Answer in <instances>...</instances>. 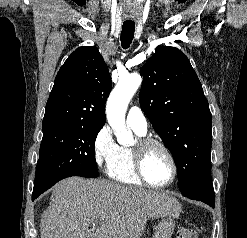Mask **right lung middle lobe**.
<instances>
[{"instance_id": "dd1d6c3e", "label": "right lung middle lobe", "mask_w": 247, "mask_h": 238, "mask_svg": "<svg viewBox=\"0 0 247 238\" xmlns=\"http://www.w3.org/2000/svg\"><path fill=\"white\" fill-rule=\"evenodd\" d=\"M102 127L80 124L43 131L32 196L66 177H98L94 145Z\"/></svg>"}]
</instances>
